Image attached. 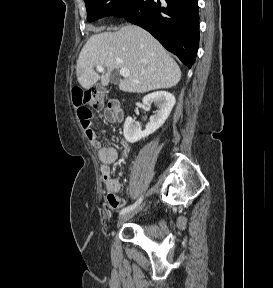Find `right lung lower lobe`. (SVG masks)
<instances>
[{
	"instance_id": "obj_1",
	"label": "right lung lower lobe",
	"mask_w": 273,
	"mask_h": 288,
	"mask_svg": "<svg viewBox=\"0 0 273 288\" xmlns=\"http://www.w3.org/2000/svg\"><path fill=\"white\" fill-rule=\"evenodd\" d=\"M149 31L189 68L199 44L197 0H138L122 16Z\"/></svg>"
}]
</instances>
